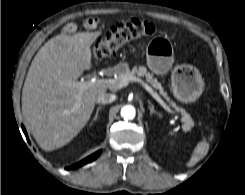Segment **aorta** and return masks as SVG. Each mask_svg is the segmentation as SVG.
<instances>
[{
    "instance_id": "obj_1",
    "label": "aorta",
    "mask_w": 245,
    "mask_h": 195,
    "mask_svg": "<svg viewBox=\"0 0 245 195\" xmlns=\"http://www.w3.org/2000/svg\"><path fill=\"white\" fill-rule=\"evenodd\" d=\"M136 110L132 105H126L121 109V116L124 119L131 120L135 117Z\"/></svg>"
}]
</instances>
